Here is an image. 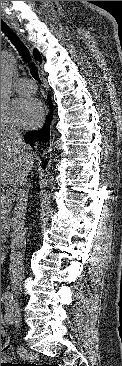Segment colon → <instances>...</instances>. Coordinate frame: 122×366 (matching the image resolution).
I'll use <instances>...</instances> for the list:
<instances>
[{"instance_id":"colon-1","label":"colon","mask_w":122,"mask_h":366,"mask_svg":"<svg viewBox=\"0 0 122 366\" xmlns=\"http://www.w3.org/2000/svg\"><path fill=\"white\" fill-rule=\"evenodd\" d=\"M1 352L4 354L6 358H12L13 352L8 344V339L4 331L1 329ZM26 366H30L31 364H25Z\"/></svg>"}]
</instances>
